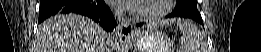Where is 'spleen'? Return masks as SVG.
<instances>
[{
	"mask_svg": "<svg viewBox=\"0 0 261 52\" xmlns=\"http://www.w3.org/2000/svg\"><path fill=\"white\" fill-rule=\"evenodd\" d=\"M177 24L183 34L182 45L184 46V52H197L201 45L200 32L197 27L187 20H178Z\"/></svg>",
	"mask_w": 261,
	"mask_h": 52,
	"instance_id": "3e777b00",
	"label": "spleen"
}]
</instances>
